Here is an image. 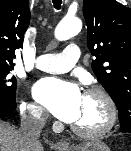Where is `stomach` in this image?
<instances>
[{"instance_id": "0dacf381", "label": "stomach", "mask_w": 131, "mask_h": 151, "mask_svg": "<svg viewBox=\"0 0 131 151\" xmlns=\"http://www.w3.org/2000/svg\"><path fill=\"white\" fill-rule=\"evenodd\" d=\"M65 151H110L101 140H90L76 147H69Z\"/></svg>"}]
</instances>
